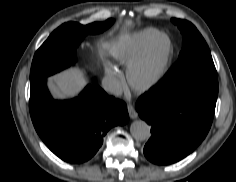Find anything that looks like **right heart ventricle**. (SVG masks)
Instances as JSON below:
<instances>
[{
    "instance_id": "obj_1",
    "label": "right heart ventricle",
    "mask_w": 236,
    "mask_h": 182,
    "mask_svg": "<svg viewBox=\"0 0 236 182\" xmlns=\"http://www.w3.org/2000/svg\"><path fill=\"white\" fill-rule=\"evenodd\" d=\"M158 33L155 28H144L122 37L112 50L113 59L120 65L128 67L146 50Z\"/></svg>"
}]
</instances>
